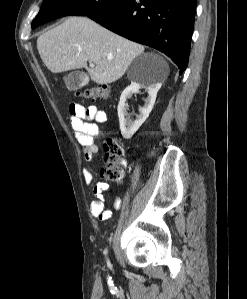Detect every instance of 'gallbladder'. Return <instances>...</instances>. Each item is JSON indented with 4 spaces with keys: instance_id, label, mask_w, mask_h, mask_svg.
<instances>
[{
    "instance_id": "1",
    "label": "gallbladder",
    "mask_w": 247,
    "mask_h": 299,
    "mask_svg": "<svg viewBox=\"0 0 247 299\" xmlns=\"http://www.w3.org/2000/svg\"><path fill=\"white\" fill-rule=\"evenodd\" d=\"M64 81L70 91H75L87 84L88 76L82 71L75 70L64 76Z\"/></svg>"
}]
</instances>
